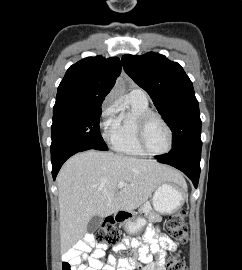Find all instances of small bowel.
I'll return each mask as SVG.
<instances>
[{
    "instance_id": "1",
    "label": "small bowel",
    "mask_w": 242,
    "mask_h": 270,
    "mask_svg": "<svg viewBox=\"0 0 242 270\" xmlns=\"http://www.w3.org/2000/svg\"><path fill=\"white\" fill-rule=\"evenodd\" d=\"M143 238L146 244L136 238H126L116 245L115 251L122 252L131 248L138 255V260L146 264L143 270H166L164 251H176V243L169 236L158 234L151 225L145 228ZM92 249L94 250L89 255ZM153 255L157 257L156 261H153ZM104 257V246L96 243L91 235H86L73 249L65 253L62 264L69 263L73 270H132L136 266L132 258L109 256L108 262L104 263Z\"/></svg>"
}]
</instances>
